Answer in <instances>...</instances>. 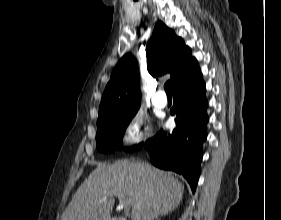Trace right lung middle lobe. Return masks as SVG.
Returning a JSON list of instances; mask_svg holds the SVG:
<instances>
[{
	"label": "right lung middle lobe",
	"instance_id": "obj_1",
	"mask_svg": "<svg viewBox=\"0 0 281 220\" xmlns=\"http://www.w3.org/2000/svg\"><path fill=\"white\" fill-rule=\"evenodd\" d=\"M136 113L137 111L112 117L97 123L96 146L99 152L111 153L118 148L127 125ZM141 145L142 144L136 145L132 149L135 150Z\"/></svg>",
	"mask_w": 281,
	"mask_h": 220
}]
</instances>
